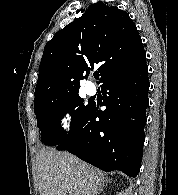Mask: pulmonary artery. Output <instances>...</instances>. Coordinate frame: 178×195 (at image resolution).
<instances>
[{"label":"pulmonary artery","instance_id":"obj_1","mask_svg":"<svg viewBox=\"0 0 178 195\" xmlns=\"http://www.w3.org/2000/svg\"><path fill=\"white\" fill-rule=\"evenodd\" d=\"M86 91L89 95H94L97 92V88L95 84H93L92 82H89L86 86Z\"/></svg>","mask_w":178,"mask_h":195}]
</instances>
